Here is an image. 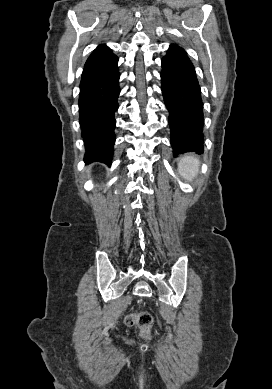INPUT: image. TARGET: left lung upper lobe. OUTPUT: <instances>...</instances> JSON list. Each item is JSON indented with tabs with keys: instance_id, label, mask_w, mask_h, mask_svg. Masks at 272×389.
Returning a JSON list of instances; mask_svg holds the SVG:
<instances>
[{
	"instance_id": "left-lung-upper-lobe-1",
	"label": "left lung upper lobe",
	"mask_w": 272,
	"mask_h": 389,
	"mask_svg": "<svg viewBox=\"0 0 272 389\" xmlns=\"http://www.w3.org/2000/svg\"><path fill=\"white\" fill-rule=\"evenodd\" d=\"M174 47H177V48H179V46L178 45H173Z\"/></svg>"
}]
</instances>
